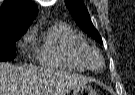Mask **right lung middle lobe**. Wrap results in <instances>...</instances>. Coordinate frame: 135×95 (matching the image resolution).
Instances as JSON below:
<instances>
[{
    "instance_id": "obj_1",
    "label": "right lung middle lobe",
    "mask_w": 135,
    "mask_h": 95,
    "mask_svg": "<svg viewBox=\"0 0 135 95\" xmlns=\"http://www.w3.org/2000/svg\"><path fill=\"white\" fill-rule=\"evenodd\" d=\"M24 33V30H20L0 35V62L16 57L15 44Z\"/></svg>"
}]
</instances>
